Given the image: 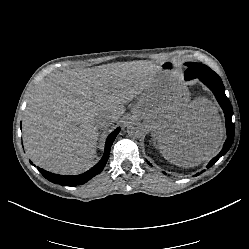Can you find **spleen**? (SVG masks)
I'll return each mask as SVG.
<instances>
[{
    "mask_svg": "<svg viewBox=\"0 0 249 249\" xmlns=\"http://www.w3.org/2000/svg\"><path fill=\"white\" fill-rule=\"evenodd\" d=\"M160 151L161 153L166 157L169 156L170 154H168L170 148L168 146H161L159 145Z\"/></svg>",
    "mask_w": 249,
    "mask_h": 249,
    "instance_id": "1",
    "label": "spleen"
}]
</instances>
